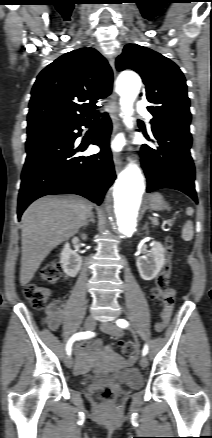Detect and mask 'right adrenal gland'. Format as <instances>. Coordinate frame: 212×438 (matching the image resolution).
I'll use <instances>...</instances> for the list:
<instances>
[{
    "label": "right adrenal gland",
    "mask_w": 212,
    "mask_h": 438,
    "mask_svg": "<svg viewBox=\"0 0 212 438\" xmlns=\"http://www.w3.org/2000/svg\"><path fill=\"white\" fill-rule=\"evenodd\" d=\"M90 222L95 223L94 213L93 212H91V214L89 216V219L85 222L84 226H88Z\"/></svg>",
    "instance_id": "obj_1"
}]
</instances>
